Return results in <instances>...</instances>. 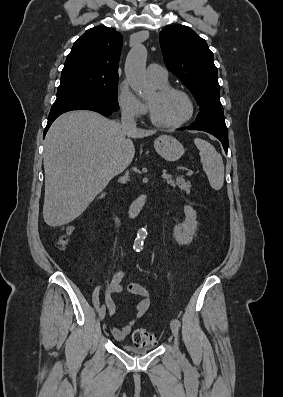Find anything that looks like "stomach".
Segmentation results:
<instances>
[{
	"label": "stomach",
	"instance_id": "stomach-1",
	"mask_svg": "<svg viewBox=\"0 0 283 397\" xmlns=\"http://www.w3.org/2000/svg\"><path fill=\"white\" fill-rule=\"evenodd\" d=\"M156 152L165 160L174 162L184 154L183 145L173 136L161 135L154 141Z\"/></svg>",
	"mask_w": 283,
	"mask_h": 397
}]
</instances>
